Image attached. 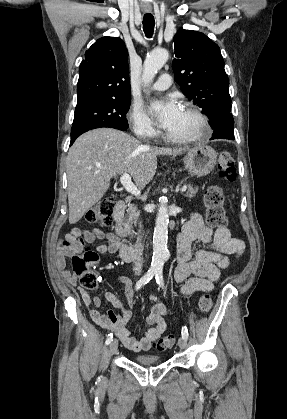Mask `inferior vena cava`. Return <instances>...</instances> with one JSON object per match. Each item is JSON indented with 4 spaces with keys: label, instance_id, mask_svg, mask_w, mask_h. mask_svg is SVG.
I'll return each mask as SVG.
<instances>
[{
    "label": "inferior vena cava",
    "instance_id": "602c4592",
    "mask_svg": "<svg viewBox=\"0 0 287 419\" xmlns=\"http://www.w3.org/2000/svg\"><path fill=\"white\" fill-rule=\"evenodd\" d=\"M139 233H141V230H142V224H141V222L139 223ZM141 239H142V236L141 235H138V237H137V245H138V247H140L141 246ZM141 252H140V250H139V254H138V256L136 257V260H135V262H134V267H133V271L135 272V274H137V275H139L140 273H141V271H142V265H143V258L141 257Z\"/></svg>",
    "mask_w": 287,
    "mask_h": 419
}]
</instances>
